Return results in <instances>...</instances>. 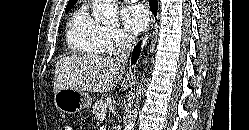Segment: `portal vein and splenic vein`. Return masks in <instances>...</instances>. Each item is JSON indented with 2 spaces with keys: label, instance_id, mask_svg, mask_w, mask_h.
Segmentation results:
<instances>
[{
  "label": "portal vein and splenic vein",
  "instance_id": "portal-vein-and-splenic-vein-1",
  "mask_svg": "<svg viewBox=\"0 0 249 130\" xmlns=\"http://www.w3.org/2000/svg\"><path fill=\"white\" fill-rule=\"evenodd\" d=\"M105 118H106V114H105L104 112H102V113H100V114L98 115V120H100V121L105 120Z\"/></svg>",
  "mask_w": 249,
  "mask_h": 130
}]
</instances>
